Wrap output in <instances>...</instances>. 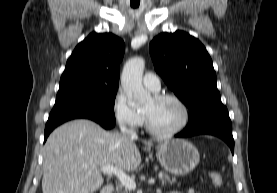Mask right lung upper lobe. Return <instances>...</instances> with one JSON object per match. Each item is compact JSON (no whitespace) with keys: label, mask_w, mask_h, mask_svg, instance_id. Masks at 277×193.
I'll list each match as a JSON object with an SVG mask.
<instances>
[{"label":"right lung upper lobe","mask_w":277,"mask_h":193,"mask_svg":"<svg viewBox=\"0 0 277 193\" xmlns=\"http://www.w3.org/2000/svg\"><path fill=\"white\" fill-rule=\"evenodd\" d=\"M124 42L111 33H91L67 61L59 91L82 86L118 88Z\"/></svg>","instance_id":"obj_1"}]
</instances>
